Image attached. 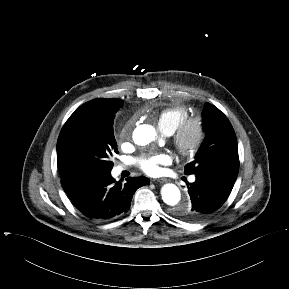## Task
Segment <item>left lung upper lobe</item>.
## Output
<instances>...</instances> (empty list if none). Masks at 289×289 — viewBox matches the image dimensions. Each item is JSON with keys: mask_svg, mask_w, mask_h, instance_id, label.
Segmentation results:
<instances>
[{"mask_svg": "<svg viewBox=\"0 0 289 289\" xmlns=\"http://www.w3.org/2000/svg\"><path fill=\"white\" fill-rule=\"evenodd\" d=\"M206 137L195 160L185 166L186 175L217 174L236 180L239 171L235 132L227 117L214 105L202 113Z\"/></svg>", "mask_w": 289, "mask_h": 289, "instance_id": "5c2ea615", "label": "left lung upper lobe"}]
</instances>
